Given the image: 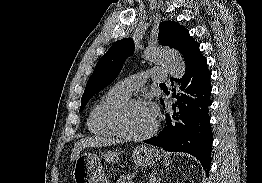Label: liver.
<instances>
[{
	"label": "liver",
	"instance_id": "obj_1",
	"mask_svg": "<svg viewBox=\"0 0 262 183\" xmlns=\"http://www.w3.org/2000/svg\"><path fill=\"white\" fill-rule=\"evenodd\" d=\"M120 142L121 141L117 139L105 138V137H90V138L80 139L74 145V148L70 156V160L71 161L76 160L80 156L82 150L86 147L107 146Z\"/></svg>",
	"mask_w": 262,
	"mask_h": 183
}]
</instances>
